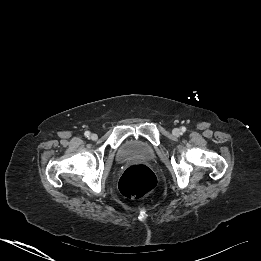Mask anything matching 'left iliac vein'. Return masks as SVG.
Returning <instances> with one entry per match:
<instances>
[{"label": "left iliac vein", "instance_id": "4c4485c4", "mask_svg": "<svg viewBox=\"0 0 261 261\" xmlns=\"http://www.w3.org/2000/svg\"><path fill=\"white\" fill-rule=\"evenodd\" d=\"M172 132H173V135H175V136H179L181 134V130L178 128L173 129Z\"/></svg>", "mask_w": 261, "mask_h": 261}]
</instances>
